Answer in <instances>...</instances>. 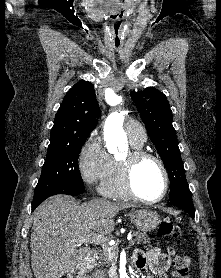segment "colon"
Returning a JSON list of instances; mask_svg holds the SVG:
<instances>
[{"mask_svg": "<svg viewBox=\"0 0 221 278\" xmlns=\"http://www.w3.org/2000/svg\"><path fill=\"white\" fill-rule=\"evenodd\" d=\"M158 233L161 237L177 238V231L169 218H163L160 222ZM175 254L174 274L180 278H188L189 259L180 254Z\"/></svg>", "mask_w": 221, "mask_h": 278, "instance_id": "1", "label": "colon"}]
</instances>
